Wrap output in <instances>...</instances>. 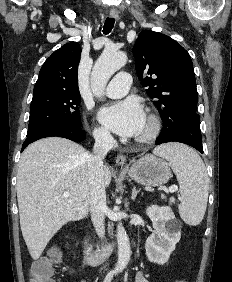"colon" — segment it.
Listing matches in <instances>:
<instances>
[{"instance_id":"1","label":"colon","mask_w":232,"mask_h":282,"mask_svg":"<svg viewBox=\"0 0 232 282\" xmlns=\"http://www.w3.org/2000/svg\"><path fill=\"white\" fill-rule=\"evenodd\" d=\"M53 276L54 260L51 258H40L31 265L29 282H55Z\"/></svg>"}]
</instances>
